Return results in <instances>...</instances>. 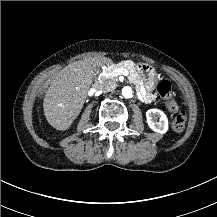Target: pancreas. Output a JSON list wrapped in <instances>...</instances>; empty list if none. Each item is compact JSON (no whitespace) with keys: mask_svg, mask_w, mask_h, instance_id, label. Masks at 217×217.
<instances>
[{"mask_svg":"<svg viewBox=\"0 0 217 217\" xmlns=\"http://www.w3.org/2000/svg\"><path fill=\"white\" fill-rule=\"evenodd\" d=\"M133 63L131 61H122L120 63H117L115 66L111 67L108 71L111 73L112 71H117L119 67L125 68L129 72L128 80L130 83H133L137 89H140L143 85V82L140 78V75L136 71L135 67L132 65ZM115 73V72H114ZM113 73V74H114ZM112 80H115V77L111 78Z\"/></svg>","mask_w":217,"mask_h":217,"instance_id":"1","label":"pancreas"}]
</instances>
